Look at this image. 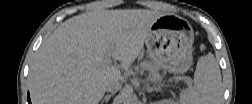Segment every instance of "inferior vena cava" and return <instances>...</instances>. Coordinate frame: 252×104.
Masks as SVG:
<instances>
[{
	"label": "inferior vena cava",
	"instance_id": "602c4592",
	"mask_svg": "<svg viewBox=\"0 0 252 104\" xmlns=\"http://www.w3.org/2000/svg\"><path fill=\"white\" fill-rule=\"evenodd\" d=\"M122 87V84L119 80H111L106 85V91L111 93H116Z\"/></svg>",
	"mask_w": 252,
	"mask_h": 104
}]
</instances>
